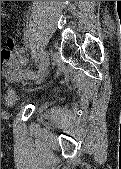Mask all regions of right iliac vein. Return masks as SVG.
I'll list each match as a JSON object with an SVG mask.
<instances>
[{
	"instance_id": "obj_1",
	"label": "right iliac vein",
	"mask_w": 121,
	"mask_h": 169,
	"mask_svg": "<svg viewBox=\"0 0 121 169\" xmlns=\"http://www.w3.org/2000/svg\"><path fill=\"white\" fill-rule=\"evenodd\" d=\"M48 64H49V55L48 53L44 52L42 54V59H41V63L39 65V69L38 72L36 74V76L34 78H32V81L36 82V83H41L46 75V71L48 68Z\"/></svg>"
}]
</instances>
